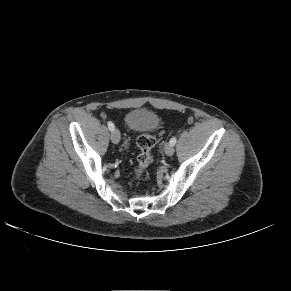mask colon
Masks as SVG:
<instances>
[{"label":"colon","mask_w":291,"mask_h":291,"mask_svg":"<svg viewBox=\"0 0 291 291\" xmlns=\"http://www.w3.org/2000/svg\"><path fill=\"white\" fill-rule=\"evenodd\" d=\"M137 145L140 149V153L137 157V166L132 176L133 180L142 177L145 170L152 163V148L155 145V138L150 134H142L137 139Z\"/></svg>","instance_id":"1"}]
</instances>
